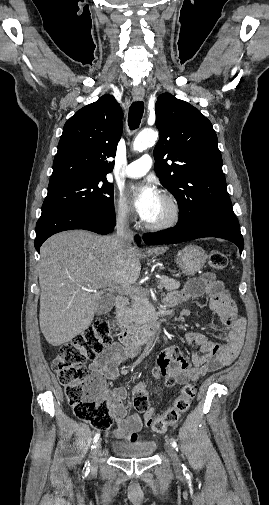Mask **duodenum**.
Returning a JSON list of instances; mask_svg holds the SVG:
<instances>
[{
    "label": "duodenum",
    "mask_w": 269,
    "mask_h": 505,
    "mask_svg": "<svg viewBox=\"0 0 269 505\" xmlns=\"http://www.w3.org/2000/svg\"><path fill=\"white\" fill-rule=\"evenodd\" d=\"M127 305L124 297H117L114 302L116 335L119 341L129 347H139L148 341H158L161 337V322L150 317L145 323L137 325L123 320L122 314Z\"/></svg>",
    "instance_id": "obj_1"
}]
</instances>
